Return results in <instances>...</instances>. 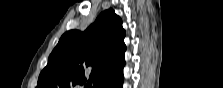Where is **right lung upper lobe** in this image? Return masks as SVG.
Listing matches in <instances>:
<instances>
[{"instance_id":"cb5924a9","label":"right lung upper lobe","mask_w":223,"mask_h":88,"mask_svg":"<svg viewBox=\"0 0 223 88\" xmlns=\"http://www.w3.org/2000/svg\"><path fill=\"white\" fill-rule=\"evenodd\" d=\"M124 37L122 20L112 9L102 12L85 32H66L40 73L37 88H71L90 81L93 88L115 87L124 79Z\"/></svg>"}]
</instances>
